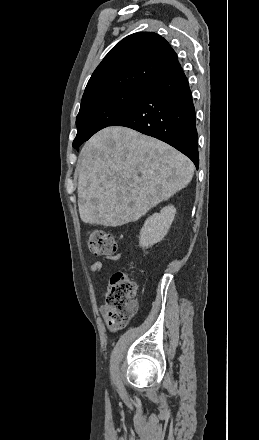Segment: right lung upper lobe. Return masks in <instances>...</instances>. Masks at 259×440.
Returning a JSON list of instances; mask_svg holds the SVG:
<instances>
[{
  "instance_id": "cb5924a9",
  "label": "right lung upper lobe",
  "mask_w": 259,
  "mask_h": 440,
  "mask_svg": "<svg viewBox=\"0 0 259 440\" xmlns=\"http://www.w3.org/2000/svg\"><path fill=\"white\" fill-rule=\"evenodd\" d=\"M178 58L154 32H138L121 40L93 72L81 104L124 88H149L166 75Z\"/></svg>"
}]
</instances>
